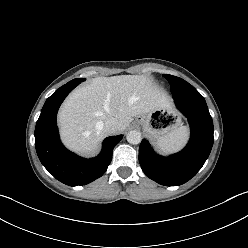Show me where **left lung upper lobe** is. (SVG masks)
<instances>
[{
  "label": "left lung upper lobe",
  "mask_w": 248,
  "mask_h": 248,
  "mask_svg": "<svg viewBox=\"0 0 248 248\" xmlns=\"http://www.w3.org/2000/svg\"><path fill=\"white\" fill-rule=\"evenodd\" d=\"M171 85V92L174 95H188V94H197L199 93L192 85H190L185 80L165 74L163 75Z\"/></svg>",
  "instance_id": "left-lung-upper-lobe-1"
}]
</instances>
